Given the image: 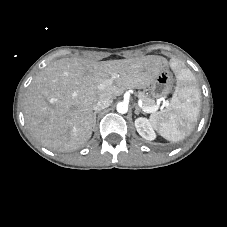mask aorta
I'll use <instances>...</instances> for the list:
<instances>
[{"label": "aorta", "instance_id": "1", "mask_svg": "<svg viewBox=\"0 0 227 227\" xmlns=\"http://www.w3.org/2000/svg\"><path fill=\"white\" fill-rule=\"evenodd\" d=\"M117 112L120 114H125L128 112V104L125 102H119L116 106Z\"/></svg>", "mask_w": 227, "mask_h": 227}]
</instances>
